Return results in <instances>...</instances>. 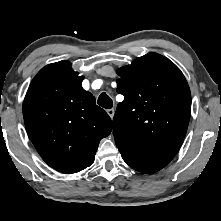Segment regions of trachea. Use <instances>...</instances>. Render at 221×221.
<instances>
[{"instance_id": "trachea-1", "label": "trachea", "mask_w": 221, "mask_h": 221, "mask_svg": "<svg viewBox=\"0 0 221 221\" xmlns=\"http://www.w3.org/2000/svg\"><path fill=\"white\" fill-rule=\"evenodd\" d=\"M97 103L106 109H110L113 106L112 99L105 92L100 94Z\"/></svg>"}]
</instances>
